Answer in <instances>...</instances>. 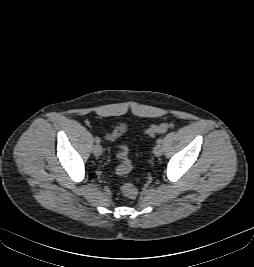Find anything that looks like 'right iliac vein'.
Segmentation results:
<instances>
[{
    "label": "right iliac vein",
    "mask_w": 254,
    "mask_h": 267,
    "mask_svg": "<svg viewBox=\"0 0 254 267\" xmlns=\"http://www.w3.org/2000/svg\"><path fill=\"white\" fill-rule=\"evenodd\" d=\"M93 154L95 155V156H100L101 154H102V147H101V145L100 144H96L95 146H94V148H93Z\"/></svg>",
    "instance_id": "right-iliac-vein-1"
}]
</instances>
